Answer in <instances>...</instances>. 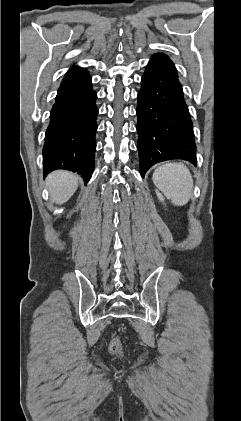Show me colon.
<instances>
[{
  "label": "colon",
  "mask_w": 241,
  "mask_h": 421,
  "mask_svg": "<svg viewBox=\"0 0 241 421\" xmlns=\"http://www.w3.org/2000/svg\"><path fill=\"white\" fill-rule=\"evenodd\" d=\"M109 350L113 354H120L122 352L121 343L118 337H114L109 345Z\"/></svg>",
  "instance_id": "5ec220e1"
}]
</instances>
